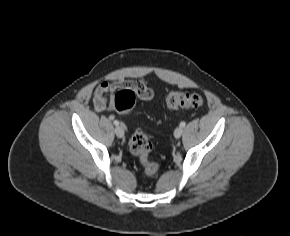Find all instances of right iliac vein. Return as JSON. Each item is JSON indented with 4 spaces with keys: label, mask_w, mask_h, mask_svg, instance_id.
I'll return each mask as SVG.
<instances>
[{
    "label": "right iliac vein",
    "mask_w": 290,
    "mask_h": 236,
    "mask_svg": "<svg viewBox=\"0 0 290 236\" xmlns=\"http://www.w3.org/2000/svg\"><path fill=\"white\" fill-rule=\"evenodd\" d=\"M115 133H116L117 137H119V138L124 137V126L123 125L117 126L115 128Z\"/></svg>",
    "instance_id": "1"
}]
</instances>
